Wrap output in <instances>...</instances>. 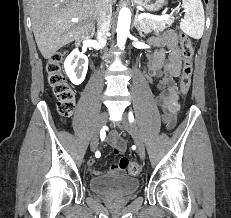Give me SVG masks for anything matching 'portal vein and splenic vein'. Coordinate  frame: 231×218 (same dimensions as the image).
Returning <instances> with one entry per match:
<instances>
[{
    "instance_id": "1",
    "label": "portal vein and splenic vein",
    "mask_w": 231,
    "mask_h": 218,
    "mask_svg": "<svg viewBox=\"0 0 231 218\" xmlns=\"http://www.w3.org/2000/svg\"><path fill=\"white\" fill-rule=\"evenodd\" d=\"M143 18H151V19H155V20H165L169 18V15L167 14H163V15H159V16H153V15H148V14H140L138 16V20L141 21ZM79 21L78 18H72V22L77 23Z\"/></svg>"
}]
</instances>
